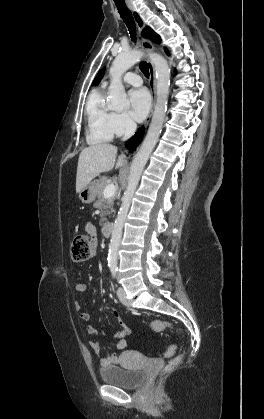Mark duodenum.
Instances as JSON below:
<instances>
[{
  "label": "duodenum",
  "mask_w": 264,
  "mask_h": 419,
  "mask_svg": "<svg viewBox=\"0 0 264 419\" xmlns=\"http://www.w3.org/2000/svg\"><path fill=\"white\" fill-rule=\"evenodd\" d=\"M113 228H114V225L112 222L105 223L102 228L103 236L109 237L112 234Z\"/></svg>",
  "instance_id": "duodenum-1"
}]
</instances>
